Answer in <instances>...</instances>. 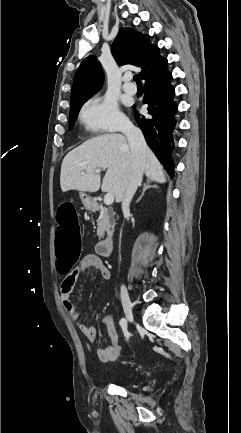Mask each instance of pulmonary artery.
Masks as SVG:
<instances>
[{
	"instance_id": "pulmonary-artery-1",
	"label": "pulmonary artery",
	"mask_w": 241,
	"mask_h": 433,
	"mask_svg": "<svg viewBox=\"0 0 241 433\" xmlns=\"http://www.w3.org/2000/svg\"><path fill=\"white\" fill-rule=\"evenodd\" d=\"M123 89L128 94H135L137 91L136 86L129 81L128 76L124 79Z\"/></svg>"
}]
</instances>
